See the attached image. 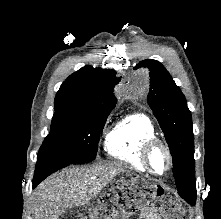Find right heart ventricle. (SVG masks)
Segmentation results:
<instances>
[{
	"label": "right heart ventricle",
	"instance_id": "e07e8e85",
	"mask_svg": "<svg viewBox=\"0 0 221 219\" xmlns=\"http://www.w3.org/2000/svg\"><path fill=\"white\" fill-rule=\"evenodd\" d=\"M157 136L152 120L144 113H132L118 121L105 138L106 154L145 172L140 151L143 143Z\"/></svg>",
	"mask_w": 221,
	"mask_h": 219
}]
</instances>
